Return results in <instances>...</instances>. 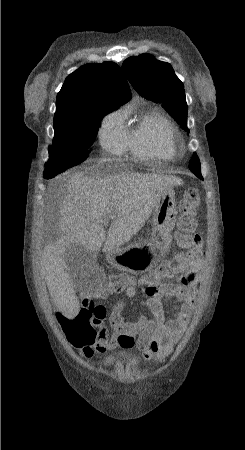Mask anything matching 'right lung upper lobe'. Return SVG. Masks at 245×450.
Returning a JSON list of instances; mask_svg holds the SVG:
<instances>
[{"mask_svg": "<svg viewBox=\"0 0 245 450\" xmlns=\"http://www.w3.org/2000/svg\"><path fill=\"white\" fill-rule=\"evenodd\" d=\"M130 99L129 85L117 64H86L66 78L57 94L55 118L84 112L93 104L120 106Z\"/></svg>", "mask_w": 245, "mask_h": 450, "instance_id": "right-lung-upper-lobe-1", "label": "right lung upper lobe"}]
</instances>
